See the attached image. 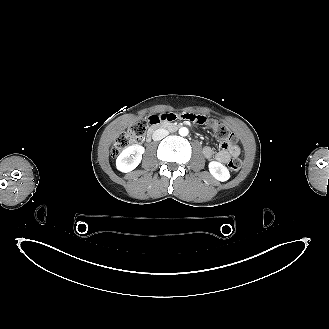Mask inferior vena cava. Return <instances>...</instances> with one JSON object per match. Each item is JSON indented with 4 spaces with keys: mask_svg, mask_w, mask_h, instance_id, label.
<instances>
[{
    "mask_svg": "<svg viewBox=\"0 0 329 329\" xmlns=\"http://www.w3.org/2000/svg\"><path fill=\"white\" fill-rule=\"evenodd\" d=\"M169 134L168 130L166 129H163V128H160V129H157L153 135H152V139L154 141H159L161 139H163L164 137H166L167 135Z\"/></svg>",
    "mask_w": 329,
    "mask_h": 329,
    "instance_id": "obj_1",
    "label": "inferior vena cava"
}]
</instances>
